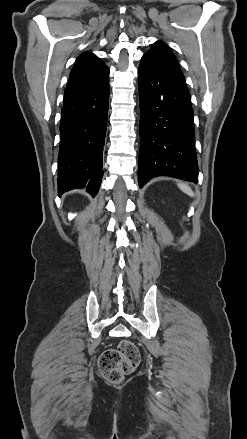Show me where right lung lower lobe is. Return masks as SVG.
<instances>
[{"label":"right lung lower lobe","instance_id":"obj_1","mask_svg":"<svg viewBox=\"0 0 247 439\" xmlns=\"http://www.w3.org/2000/svg\"><path fill=\"white\" fill-rule=\"evenodd\" d=\"M109 81L100 88L64 98L60 124L58 195L87 186L95 196L103 176Z\"/></svg>","mask_w":247,"mask_h":439}]
</instances>
